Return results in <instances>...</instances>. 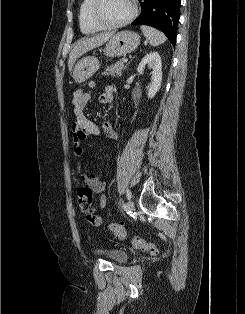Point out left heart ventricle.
<instances>
[{"instance_id":"obj_1","label":"left heart ventricle","mask_w":245,"mask_h":314,"mask_svg":"<svg viewBox=\"0 0 245 314\" xmlns=\"http://www.w3.org/2000/svg\"><path fill=\"white\" fill-rule=\"evenodd\" d=\"M131 10L130 0H101L99 15L103 21L115 23L128 17Z\"/></svg>"}]
</instances>
